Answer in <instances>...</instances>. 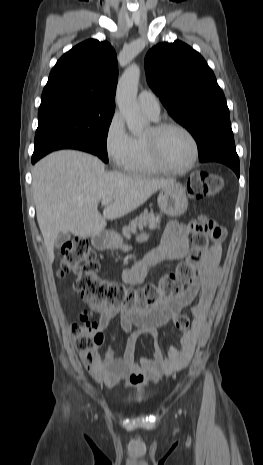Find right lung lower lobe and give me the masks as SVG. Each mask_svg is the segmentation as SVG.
Here are the masks:
<instances>
[{"label":"right lung lower lobe","mask_w":263,"mask_h":465,"mask_svg":"<svg viewBox=\"0 0 263 465\" xmlns=\"http://www.w3.org/2000/svg\"><path fill=\"white\" fill-rule=\"evenodd\" d=\"M59 149H77V150H82V151L94 154L91 148H89L88 146H86V145H84V144H82L80 142L63 141V142H60V143H57L55 145L50 146L43 153H41L39 155H33L32 156V163L34 164L35 162H37L40 158H42L46 154H48V153H50L52 151H55V150H59Z\"/></svg>","instance_id":"right-lung-lower-lobe-1"}]
</instances>
